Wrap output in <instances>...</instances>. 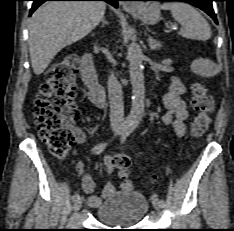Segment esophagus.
<instances>
[{
	"mask_svg": "<svg viewBox=\"0 0 234 231\" xmlns=\"http://www.w3.org/2000/svg\"><path fill=\"white\" fill-rule=\"evenodd\" d=\"M137 8H138V6L135 4H128L127 3L124 5V9H126V10L137 9Z\"/></svg>",
	"mask_w": 234,
	"mask_h": 231,
	"instance_id": "esophagus-1",
	"label": "esophagus"
}]
</instances>
